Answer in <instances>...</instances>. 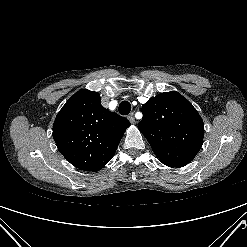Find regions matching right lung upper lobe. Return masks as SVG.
Here are the masks:
<instances>
[{"label":"right lung upper lobe","mask_w":247,"mask_h":247,"mask_svg":"<svg viewBox=\"0 0 247 247\" xmlns=\"http://www.w3.org/2000/svg\"><path fill=\"white\" fill-rule=\"evenodd\" d=\"M95 91L81 89L62 107L53 124L58 150L75 167L96 172L113 157L130 122L105 109Z\"/></svg>","instance_id":"obj_1"}]
</instances>
